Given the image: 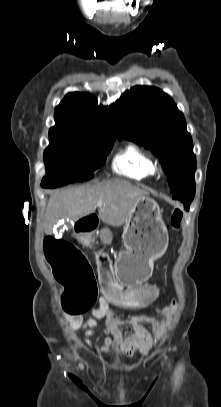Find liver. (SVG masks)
<instances>
[{"label":"liver","mask_w":221,"mask_h":407,"mask_svg":"<svg viewBox=\"0 0 221 407\" xmlns=\"http://www.w3.org/2000/svg\"><path fill=\"white\" fill-rule=\"evenodd\" d=\"M148 193L128 182L107 181L81 186L51 194L46 208V234L60 219L77 221L98 209V217L105 223L119 227L127 222L139 199ZM101 201L102 206L97 203Z\"/></svg>","instance_id":"liver-1"}]
</instances>
